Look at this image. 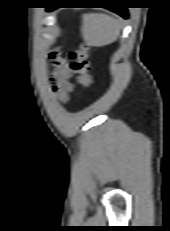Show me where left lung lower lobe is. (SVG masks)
Masks as SVG:
<instances>
[{"label":"left lung lower lobe","mask_w":170,"mask_h":231,"mask_svg":"<svg viewBox=\"0 0 170 231\" xmlns=\"http://www.w3.org/2000/svg\"><path fill=\"white\" fill-rule=\"evenodd\" d=\"M109 5H115V4H109ZM107 9H110L111 11H114L121 15L123 18L127 19L128 18V11L125 7H106ZM55 8H48L47 10H53Z\"/></svg>","instance_id":"obj_1"}]
</instances>
